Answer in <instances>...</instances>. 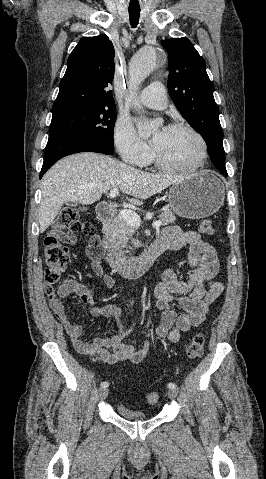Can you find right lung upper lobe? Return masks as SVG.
Returning <instances> with one entry per match:
<instances>
[{
    "label": "right lung upper lobe",
    "instance_id": "cb5924a9",
    "mask_svg": "<svg viewBox=\"0 0 266 479\" xmlns=\"http://www.w3.org/2000/svg\"><path fill=\"white\" fill-rule=\"evenodd\" d=\"M114 47L106 35L82 38L67 61L52 112L115 108L112 91Z\"/></svg>",
    "mask_w": 266,
    "mask_h": 479
}]
</instances>
